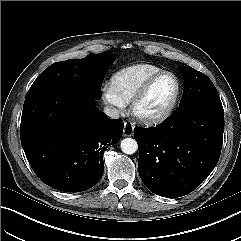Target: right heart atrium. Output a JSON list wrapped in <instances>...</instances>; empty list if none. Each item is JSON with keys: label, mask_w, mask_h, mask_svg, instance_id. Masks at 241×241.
<instances>
[{"label": "right heart atrium", "mask_w": 241, "mask_h": 241, "mask_svg": "<svg viewBox=\"0 0 241 241\" xmlns=\"http://www.w3.org/2000/svg\"><path fill=\"white\" fill-rule=\"evenodd\" d=\"M102 99L114 112H121L125 109L126 103L117 94L111 84H104L102 87Z\"/></svg>", "instance_id": "d8ad5b80"}]
</instances>
